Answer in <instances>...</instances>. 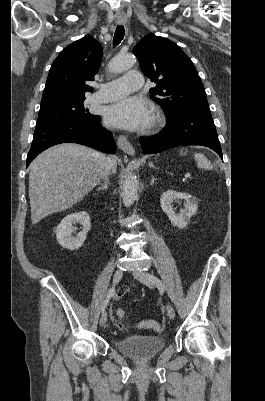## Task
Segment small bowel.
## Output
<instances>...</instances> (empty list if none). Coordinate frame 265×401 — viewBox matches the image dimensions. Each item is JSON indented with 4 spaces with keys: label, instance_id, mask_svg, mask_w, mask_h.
<instances>
[{
    "label": "small bowel",
    "instance_id": "small-bowel-1",
    "mask_svg": "<svg viewBox=\"0 0 265 401\" xmlns=\"http://www.w3.org/2000/svg\"><path fill=\"white\" fill-rule=\"evenodd\" d=\"M126 293H127V289H126V288H122V289L118 292L117 296L120 298V297H122L123 295H125Z\"/></svg>",
    "mask_w": 265,
    "mask_h": 401
}]
</instances>
